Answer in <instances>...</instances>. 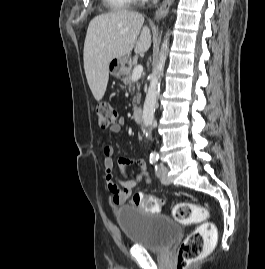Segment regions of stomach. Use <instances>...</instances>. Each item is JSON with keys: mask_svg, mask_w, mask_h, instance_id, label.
Wrapping results in <instances>:
<instances>
[{"mask_svg": "<svg viewBox=\"0 0 265 269\" xmlns=\"http://www.w3.org/2000/svg\"><path fill=\"white\" fill-rule=\"evenodd\" d=\"M131 68L129 56L113 58L108 65L109 73L114 77H121L128 73Z\"/></svg>", "mask_w": 265, "mask_h": 269, "instance_id": "obj_1", "label": "stomach"}]
</instances>
